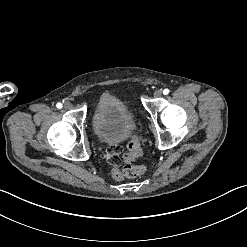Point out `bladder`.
Here are the masks:
<instances>
[{"label": "bladder", "mask_w": 247, "mask_h": 247, "mask_svg": "<svg viewBox=\"0 0 247 247\" xmlns=\"http://www.w3.org/2000/svg\"><path fill=\"white\" fill-rule=\"evenodd\" d=\"M134 125L129 109L117 97L109 94L99 97L91 117V127L99 142L121 143L131 135Z\"/></svg>", "instance_id": "bladder-1"}]
</instances>
